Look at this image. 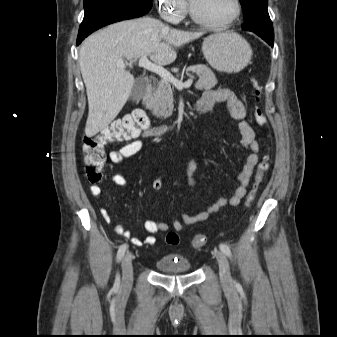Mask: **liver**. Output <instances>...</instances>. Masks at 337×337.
Listing matches in <instances>:
<instances>
[{"label": "liver", "mask_w": 337, "mask_h": 337, "mask_svg": "<svg viewBox=\"0 0 337 337\" xmlns=\"http://www.w3.org/2000/svg\"><path fill=\"white\" fill-rule=\"evenodd\" d=\"M201 35L172 29L150 17L118 22L90 35L79 53L89 105L86 136L106 128L131 94L135 79L125 68L117 67L119 60L148 56L158 65H168L177 57L175 48Z\"/></svg>", "instance_id": "1"}]
</instances>
